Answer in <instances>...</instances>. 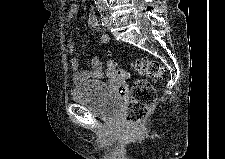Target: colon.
<instances>
[{
	"instance_id": "colon-1",
	"label": "colon",
	"mask_w": 225,
	"mask_h": 159,
	"mask_svg": "<svg viewBox=\"0 0 225 159\" xmlns=\"http://www.w3.org/2000/svg\"><path fill=\"white\" fill-rule=\"evenodd\" d=\"M135 70L148 78L159 80L163 76V68L154 59L139 57L134 63ZM106 71L114 79H127L129 73L120 68L114 60L106 64ZM156 91L153 85L144 79L136 80L132 86V98L126 109L125 119L130 125H139L154 105Z\"/></svg>"
}]
</instances>
